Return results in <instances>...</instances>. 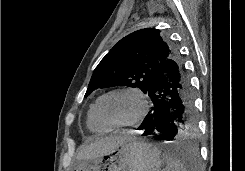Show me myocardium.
<instances>
[{"label": "myocardium", "mask_w": 245, "mask_h": 171, "mask_svg": "<svg viewBox=\"0 0 245 171\" xmlns=\"http://www.w3.org/2000/svg\"><path fill=\"white\" fill-rule=\"evenodd\" d=\"M118 93H128L134 95L139 102V109L134 115V117L131 118L130 120L122 123H111L103 117L101 113V104L106 97ZM147 111H148V100L146 95L141 89L134 86L119 87L107 91L97 99L96 107H95V112L98 120L108 128H126V127L134 126L140 123L144 119V117L147 114Z\"/></svg>", "instance_id": "myocardium-1"}]
</instances>
